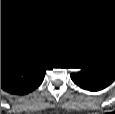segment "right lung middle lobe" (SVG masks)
Here are the masks:
<instances>
[{"label": "right lung middle lobe", "instance_id": "dd1d6c3e", "mask_svg": "<svg viewBox=\"0 0 115 114\" xmlns=\"http://www.w3.org/2000/svg\"><path fill=\"white\" fill-rule=\"evenodd\" d=\"M7 56V51L6 50H2L1 49V57L3 58V57H6Z\"/></svg>", "mask_w": 115, "mask_h": 114}]
</instances>
